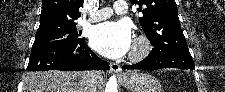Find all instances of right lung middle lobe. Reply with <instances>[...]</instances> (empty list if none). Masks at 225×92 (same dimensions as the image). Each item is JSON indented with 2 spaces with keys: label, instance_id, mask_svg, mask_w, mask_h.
Masks as SVG:
<instances>
[{
  "label": "right lung middle lobe",
  "instance_id": "1",
  "mask_svg": "<svg viewBox=\"0 0 225 92\" xmlns=\"http://www.w3.org/2000/svg\"><path fill=\"white\" fill-rule=\"evenodd\" d=\"M81 34L76 30L75 22H51L40 24L32 50L50 46L68 45L77 43L84 38H79Z\"/></svg>",
  "mask_w": 225,
  "mask_h": 92
}]
</instances>
